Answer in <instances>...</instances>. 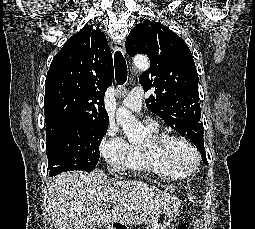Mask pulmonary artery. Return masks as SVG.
<instances>
[{"label": "pulmonary artery", "instance_id": "pulmonary-artery-1", "mask_svg": "<svg viewBox=\"0 0 255 229\" xmlns=\"http://www.w3.org/2000/svg\"><path fill=\"white\" fill-rule=\"evenodd\" d=\"M142 100H143V91L141 87L136 86L132 88L128 94V96L123 100V105L135 112H139L142 107ZM148 125L151 128H156L157 124L153 121H147Z\"/></svg>", "mask_w": 255, "mask_h": 229}]
</instances>
